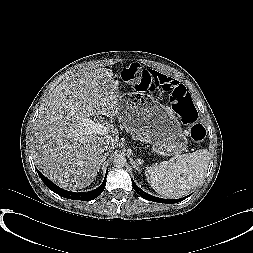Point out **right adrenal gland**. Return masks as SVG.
I'll list each match as a JSON object with an SVG mask.
<instances>
[{"label":"right adrenal gland","instance_id":"right-adrenal-gland-1","mask_svg":"<svg viewBox=\"0 0 253 253\" xmlns=\"http://www.w3.org/2000/svg\"><path fill=\"white\" fill-rule=\"evenodd\" d=\"M109 152H110V151H108V152H106V153L104 154L103 160L101 161L100 167H99V168H101L102 163L107 159V156L109 155Z\"/></svg>","mask_w":253,"mask_h":253}]
</instances>
